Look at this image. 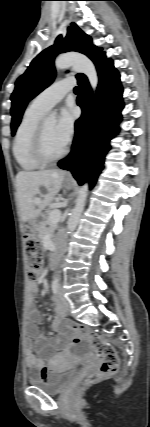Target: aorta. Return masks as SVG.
<instances>
[{
    "label": "aorta",
    "instance_id": "obj_1",
    "mask_svg": "<svg viewBox=\"0 0 150 427\" xmlns=\"http://www.w3.org/2000/svg\"><path fill=\"white\" fill-rule=\"evenodd\" d=\"M55 67L57 71L72 67L75 71L85 74L95 93L98 86L97 71L93 62L85 55L79 53H68L59 55L55 60ZM56 122L57 119L55 114H50L44 120V124L47 126H54ZM88 188V183H85L78 191V197L76 199L75 207L67 222V229L70 232H73L79 223L81 214L84 209Z\"/></svg>",
    "mask_w": 150,
    "mask_h": 427
}]
</instances>
